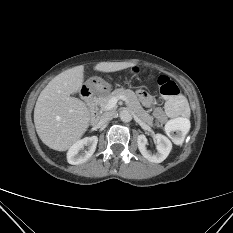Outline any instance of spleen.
Wrapping results in <instances>:
<instances>
[{
	"label": "spleen",
	"mask_w": 233,
	"mask_h": 233,
	"mask_svg": "<svg viewBox=\"0 0 233 233\" xmlns=\"http://www.w3.org/2000/svg\"><path fill=\"white\" fill-rule=\"evenodd\" d=\"M177 120H182V118H178Z\"/></svg>",
	"instance_id": "1"
}]
</instances>
